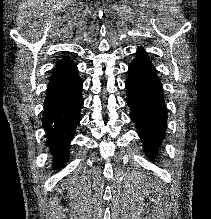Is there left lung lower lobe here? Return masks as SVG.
Wrapping results in <instances>:
<instances>
[{"label":"left lung lower lobe","mask_w":211,"mask_h":219,"mask_svg":"<svg viewBox=\"0 0 211 219\" xmlns=\"http://www.w3.org/2000/svg\"><path fill=\"white\" fill-rule=\"evenodd\" d=\"M138 50V56L128 68L129 76L125 85L127 104L131 109V119L137 125L143 149L146 155L150 153L149 159H153L165 135L167 111L156 70L144 49Z\"/></svg>","instance_id":"0a47b994"}]
</instances>
